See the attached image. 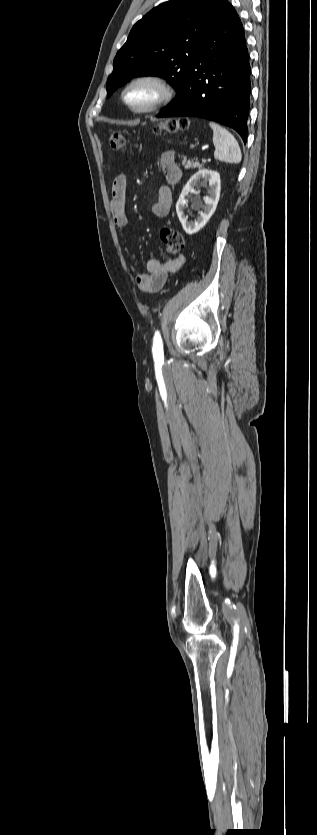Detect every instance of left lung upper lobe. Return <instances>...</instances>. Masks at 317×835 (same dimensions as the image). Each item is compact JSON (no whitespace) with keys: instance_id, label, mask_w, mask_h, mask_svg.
I'll list each match as a JSON object with an SVG mask.
<instances>
[{"instance_id":"1","label":"left lung upper lobe","mask_w":317,"mask_h":835,"mask_svg":"<svg viewBox=\"0 0 317 835\" xmlns=\"http://www.w3.org/2000/svg\"><path fill=\"white\" fill-rule=\"evenodd\" d=\"M230 3L227 0H171L148 12L117 52L107 80V97L137 76H160L184 88L191 66Z\"/></svg>"}]
</instances>
